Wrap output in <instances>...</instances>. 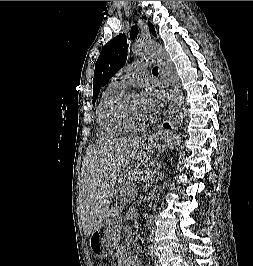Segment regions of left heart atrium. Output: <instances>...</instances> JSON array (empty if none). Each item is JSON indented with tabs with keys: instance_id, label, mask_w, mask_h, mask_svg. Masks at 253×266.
Returning <instances> with one entry per match:
<instances>
[{
	"instance_id": "obj_1",
	"label": "left heart atrium",
	"mask_w": 253,
	"mask_h": 266,
	"mask_svg": "<svg viewBox=\"0 0 253 266\" xmlns=\"http://www.w3.org/2000/svg\"><path fill=\"white\" fill-rule=\"evenodd\" d=\"M138 96L143 114L146 118L152 117L160 110L163 94L157 89L147 85Z\"/></svg>"
}]
</instances>
